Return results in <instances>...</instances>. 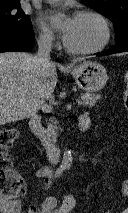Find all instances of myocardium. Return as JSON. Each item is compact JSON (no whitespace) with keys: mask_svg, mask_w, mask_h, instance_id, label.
Segmentation results:
<instances>
[{"mask_svg":"<svg viewBox=\"0 0 128 213\" xmlns=\"http://www.w3.org/2000/svg\"><path fill=\"white\" fill-rule=\"evenodd\" d=\"M75 17H93L97 19L103 28V39L102 41L95 47L89 49H75L70 47L67 43H65V48L69 53L76 54V55H89L94 54L102 51L110 42L112 36V30L109 21L107 18L98 11L90 10V9H83L76 13Z\"/></svg>","mask_w":128,"mask_h":213,"instance_id":"f54148a6","label":"myocardium"}]
</instances>
